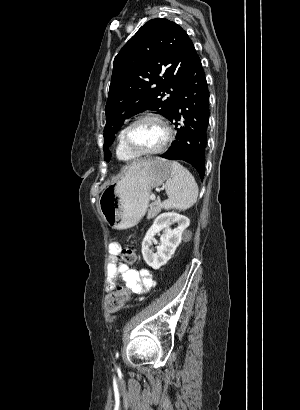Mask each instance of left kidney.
Segmentation results:
<instances>
[{
    "label": "left kidney",
    "instance_id": "1",
    "mask_svg": "<svg viewBox=\"0 0 300 410\" xmlns=\"http://www.w3.org/2000/svg\"><path fill=\"white\" fill-rule=\"evenodd\" d=\"M173 223L177 226L171 229L170 226ZM189 224L188 217L174 212H165L157 216L142 241L144 261L155 270L165 265L181 243L182 234ZM160 231H163L160 238L161 244L156 247V253H154L151 246L154 236Z\"/></svg>",
    "mask_w": 300,
    "mask_h": 410
}]
</instances>
